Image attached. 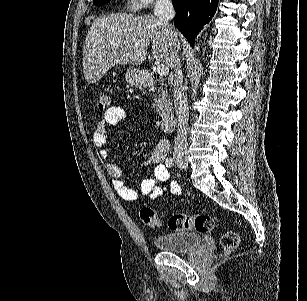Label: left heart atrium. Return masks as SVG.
<instances>
[{
	"label": "left heart atrium",
	"mask_w": 307,
	"mask_h": 301,
	"mask_svg": "<svg viewBox=\"0 0 307 301\" xmlns=\"http://www.w3.org/2000/svg\"><path fill=\"white\" fill-rule=\"evenodd\" d=\"M155 62H173V61H155Z\"/></svg>",
	"instance_id": "39dd6f15"
}]
</instances>
